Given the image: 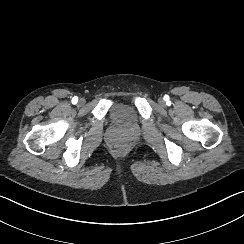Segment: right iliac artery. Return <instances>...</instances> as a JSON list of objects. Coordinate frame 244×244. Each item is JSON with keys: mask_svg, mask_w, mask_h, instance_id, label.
<instances>
[{"mask_svg": "<svg viewBox=\"0 0 244 244\" xmlns=\"http://www.w3.org/2000/svg\"><path fill=\"white\" fill-rule=\"evenodd\" d=\"M77 101H78V98H77L76 96L72 98V103H73V104H76Z\"/></svg>", "mask_w": 244, "mask_h": 244, "instance_id": "1", "label": "right iliac artery"}]
</instances>
